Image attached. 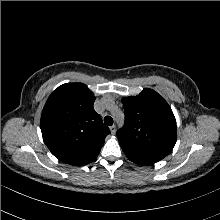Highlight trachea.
<instances>
[{
    "label": "trachea",
    "instance_id": "obj_1",
    "mask_svg": "<svg viewBox=\"0 0 220 220\" xmlns=\"http://www.w3.org/2000/svg\"><path fill=\"white\" fill-rule=\"evenodd\" d=\"M104 123L107 125V126H111L113 124V118L111 116H106L104 118Z\"/></svg>",
    "mask_w": 220,
    "mask_h": 220
}]
</instances>
